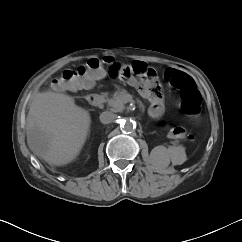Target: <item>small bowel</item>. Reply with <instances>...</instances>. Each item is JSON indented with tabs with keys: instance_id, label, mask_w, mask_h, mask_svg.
Here are the masks:
<instances>
[{
	"instance_id": "obj_1",
	"label": "small bowel",
	"mask_w": 242,
	"mask_h": 242,
	"mask_svg": "<svg viewBox=\"0 0 242 242\" xmlns=\"http://www.w3.org/2000/svg\"><path fill=\"white\" fill-rule=\"evenodd\" d=\"M135 62H142V61H135ZM142 63H144V62H142ZM124 67H125V65H121V71L124 69ZM170 69H175V68H170ZM97 78H99V76L96 77V78H94L92 80L91 85L87 86L86 88H91L94 85V83H95V81H96ZM120 78L122 80L126 81L131 86H138V84H139L138 80L135 79L134 77L124 78V77L120 76ZM140 88H141L142 94L143 95L146 94V90L143 88V86L140 85Z\"/></svg>"
}]
</instances>
